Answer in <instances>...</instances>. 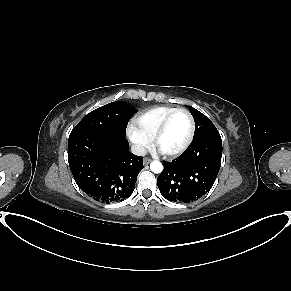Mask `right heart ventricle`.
<instances>
[{"mask_svg":"<svg viewBox=\"0 0 291 291\" xmlns=\"http://www.w3.org/2000/svg\"><path fill=\"white\" fill-rule=\"evenodd\" d=\"M177 108L171 106H158L146 110L134 119L136 126L151 140L163 119Z\"/></svg>","mask_w":291,"mask_h":291,"instance_id":"e07e8e85","label":"right heart ventricle"}]
</instances>
